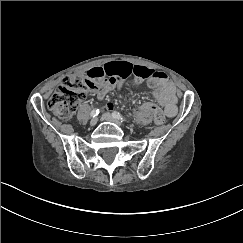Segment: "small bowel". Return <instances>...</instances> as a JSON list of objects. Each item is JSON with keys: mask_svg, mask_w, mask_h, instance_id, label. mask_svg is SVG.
Returning <instances> with one entry per match:
<instances>
[{"mask_svg": "<svg viewBox=\"0 0 243 243\" xmlns=\"http://www.w3.org/2000/svg\"><path fill=\"white\" fill-rule=\"evenodd\" d=\"M99 74V86L96 95L102 100L114 86L130 75L139 79H150L160 84L159 90L154 93L155 98L163 107L168 117H173L177 113V97L175 87L166 74L151 70L144 66L132 65L129 62H111L102 67H95L87 71V76L93 77ZM111 108V105H108Z\"/></svg>", "mask_w": 243, "mask_h": 243, "instance_id": "small-bowel-1", "label": "small bowel"}]
</instances>
